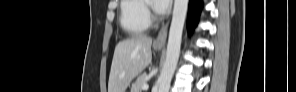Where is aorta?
Here are the masks:
<instances>
[{"instance_id":"aorta-1","label":"aorta","mask_w":296,"mask_h":92,"mask_svg":"<svg viewBox=\"0 0 296 92\" xmlns=\"http://www.w3.org/2000/svg\"><path fill=\"white\" fill-rule=\"evenodd\" d=\"M188 0H174L173 16L169 31L166 60L159 76V91L169 92L170 83L179 59L182 32L187 14Z\"/></svg>"}]
</instances>
